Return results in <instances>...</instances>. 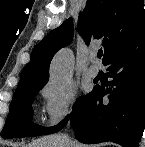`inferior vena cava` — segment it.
Returning a JSON list of instances; mask_svg holds the SVG:
<instances>
[{"label":"inferior vena cava","mask_w":145,"mask_h":147,"mask_svg":"<svg viewBox=\"0 0 145 147\" xmlns=\"http://www.w3.org/2000/svg\"><path fill=\"white\" fill-rule=\"evenodd\" d=\"M62 139L65 142V144H66L65 146L66 147H71L72 146V145H70L71 144V140L69 139V137L67 135H63Z\"/></svg>","instance_id":"obj_1"}]
</instances>
